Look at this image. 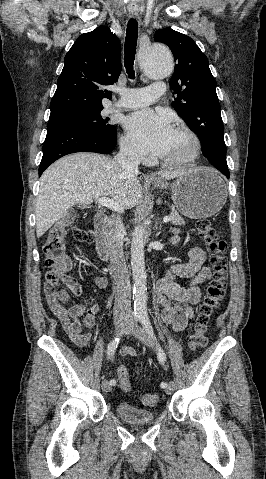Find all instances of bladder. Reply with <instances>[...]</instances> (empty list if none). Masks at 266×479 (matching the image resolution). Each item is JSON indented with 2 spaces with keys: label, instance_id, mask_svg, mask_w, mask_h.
I'll return each instance as SVG.
<instances>
[{
  "label": "bladder",
  "instance_id": "bladder-1",
  "mask_svg": "<svg viewBox=\"0 0 266 479\" xmlns=\"http://www.w3.org/2000/svg\"><path fill=\"white\" fill-rule=\"evenodd\" d=\"M116 412L123 421L131 424H146L156 419L154 411L138 408L129 402L117 403Z\"/></svg>",
  "mask_w": 266,
  "mask_h": 479
}]
</instances>
